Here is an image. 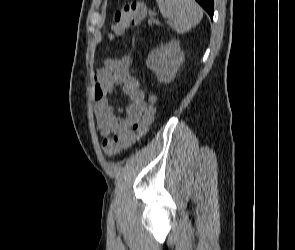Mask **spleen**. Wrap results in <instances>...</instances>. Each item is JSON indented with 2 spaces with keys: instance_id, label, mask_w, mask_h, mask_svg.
<instances>
[{
  "instance_id": "spleen-1",
  "label": "spleen",
  "mask_w": 295,
  "mask_h": 250,
  "mask_svg": "<svg viewBox=\"0 0 295 250\" xmlns=\"http://www.w3.org/2000/svg\"><path fill=\"white\" fill-rule=\"evenodd\" d=\"M164 18L178 33H186L202 19L203 10L195 0H156Z\"/></svg>"
}]
</instances>
